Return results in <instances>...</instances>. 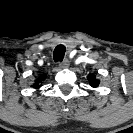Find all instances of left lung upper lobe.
<instances>
[{
  "label": "left lung upper lobe",
  "instance_id": "left-lung-upper-lobe-1",
  "mask_svg": "<svg viewBox=\"0 0 133 133\" xmlns=\"http://www.w3.org/2000/svg\"><path fill=\"white\" fill-rule=\"evenodd\" d=\"M88 80L92 87H97L100 82L98 79H96L94 75H91V74L88 76Z\"/></svg>",
  "mask_w": 133,
  "mask_h": 133
}]
</instances>
